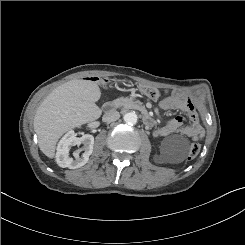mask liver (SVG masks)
<instances>
[{"label":"liver","mask_w":245,"mask_h":245,"mask_svg":"<svg viewBox=\"0 0 245 245\" xmlns=\"http://www.w3.org/2000/svg\"><path fill=\"white\" fill-rule=\"evenodd\" d=\"M101 91L96 82L75 79L55 88L37 108L33 127L40 150L55 156L56 144L67 131L101 116L97 107Z\"/></svg>","instance_id":"liver-1"}]
</instances>
